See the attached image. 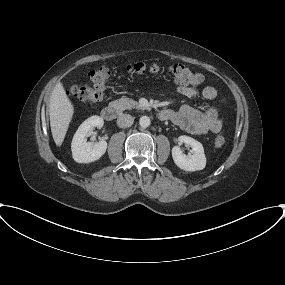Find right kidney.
<instances>
[{
  "label": "right kidney",
  "mask_w": 285,
  "mask_h": 285,
  "mask_svg": "<svg viewBox=\"0 0 285 285\" xmlns=\"http://www.w3.org/2000/svg\"><path fill=\"white\" fill-rule=\"evenodd\" d=\"M103 124L104 121L100 116H91L79 126L71 143L72 156L77 163L94 162L105 154L107 149L105 140L102 139L94 145L87 142L91 131L95 127L101 128Z\"/></svg>",
  "instance_id": "obj_1"
}]
</instances>
